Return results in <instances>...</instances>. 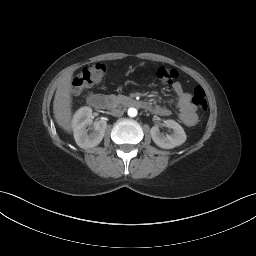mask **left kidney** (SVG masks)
Returning <instances> with one entry per match:
<instances>
[{"mask_svg": "<svg viewBox=\"0 0 256 256\" xmlns=\"http://www.w3.org/2000/svg\"><path fill=\"white\" fill-rule=\"evenodd\" d=\"M166 127L172 129V133L169 135H163L158 126L151 128V137L154 143L163 149H172L174 147L182 145L186 141V134L184 129L176 121L167 119L164 121Z\"/></svg>", "mask_w": 256, "mask_h": 256, "instance_id": "obj_1", "label": "left kidney"}]
</instances>
